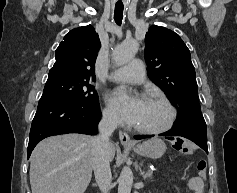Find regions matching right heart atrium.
<instances>
[{
    "instance_id": "d8ad5b80",
    "label": "right heart atrium",
    "mask_w": 237,
    "mask_h": 193,
    "mask_svg": "<svg viewBox=\"0 0 237 193\" xmlns=\"http://www.w3.org/2000/svg\"><path fill=\"white\" fill-rule=\"evenodd\" d=\"M103 119L106 123L110 125H118L121 122L120 116L117 111L111 106H106L103 109Z\"/></svg>"
}]
</instances>
